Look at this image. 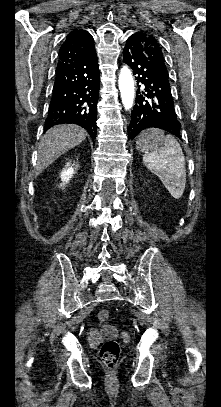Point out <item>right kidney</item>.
Returning a JSON list of instances; mask_svg holds the SVG:
<instances>
[{
    "label": "right kidney",
    "mask_w": 221,
    "mask_h": 407,
    "mask_svg": "<svg viewBox=\"0 0 221 407\" xmlns=\"http://www.w3.org/2000/svg\"><path fill=\"white\" fill-rule=\"evenodd\" d=\"M67 166H69V165L67 164ZM73 174H74V169L72 167H68V168L64 169L61 174L62 181L67 183L72 178Z\"/></svg>",
    "instance_id": "obj_1"
}]
</instances>
